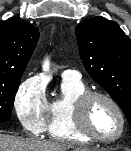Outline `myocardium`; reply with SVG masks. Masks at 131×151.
Returning a JSON list of instances; mask_svg holds the SVG:
<instances>
[{"instance_id":"f54148a6","label":"myocardium","mask_w":131,"mask_h":151,"mask_svg":"<svg viewBox=\"0 0 131 151\" xmlns=\"http://www.w3.org/2000/svg\"><path fill=\"white\" fill-rule=\"evenodd\" d=\"M101 99L108 102L116 111L120 120V129L114 137L106 138L97 135L89 125V113L94 101ZM73 119L77 131L86 138L100 143H114L124 134L126 129V118L120 104L109 94L100 91H86L81 94L73 105Z\"/></svg>"}]
</instances>
